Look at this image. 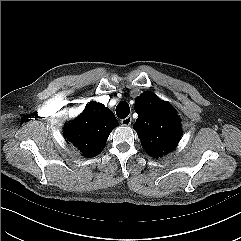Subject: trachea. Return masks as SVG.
Returning a JSON list of instances; mask_svg holds the SVG:
<instances>
[{"label": "trachea", "instance_id": "obj_1", "mask_svg": "<svg viewBox=\"0 0 241 241\" xmlns=\"http://www.w3.org/2000/svg\"><path fill=\"white\" fill-rule=\"evenodd\" d=\"M130 113V107L126 102H120L116 107V115L120 119L126 118Z\"/></svg>", "mask_w": 241, "mask_h": 241}]
</instances>
